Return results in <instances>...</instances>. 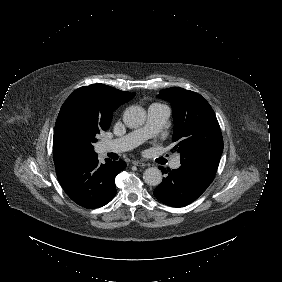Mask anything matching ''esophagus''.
Listing matches in <instances>:
<instances>
[{
    "label": "esophagus",
    "mask_w": 282,
    "mask_h": 282,
    "mask_svg": "<svg viewBox=\"0 0 282 282\" xmlns=\"http://www.w3.org/2000/svg\"><path fill=\"white\" fill-rule=\"evenodd\" d=\"M134 165L138 166V167H145L146 164L141 162V161H133L132 162Z\"/></svg>",
    "instance_id": "obj_1"
}]
</instances>
